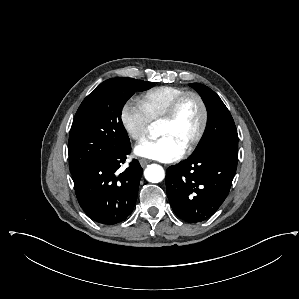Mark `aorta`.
Masks as SVG:
<instances>
[{
    "label": "aorta",
    "instance_id": "1",
    "mask_svg": "<svg viewBox=\"0 0 299 299\" xmlns=\"http://www.w3.org/2000/svg\"><path fill=\"white\" fill-rule=\"evenodd\" d=\"M144 176L151 183H159L165 178V171L160 165L151 164L145 169Z\"/></svg>",
    "mask_w": 299,
    "mask_h": 299
}]
</instances>
